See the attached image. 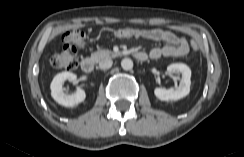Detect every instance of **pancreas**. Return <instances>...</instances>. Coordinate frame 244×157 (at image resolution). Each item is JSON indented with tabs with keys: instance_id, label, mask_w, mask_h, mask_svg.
<instances>
[{
	"instance_id": "1",
	"label": "pancreas",
	"mask_w": 244,
	"mask_h": 157,
	"mask_svg": "<svg viewBox=\"0 0 244 157\" xmlns=\"http://www.w3.org/2000/svg\"><path fill=\"white\" fill-rule=\"evenodd\" d=\"M118 55V53L112 52L110 50H98L91 54V58L94 59L96 62H99L103 59L115 58Z\"/></svg>"
}]
</instances>
